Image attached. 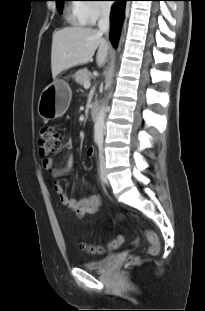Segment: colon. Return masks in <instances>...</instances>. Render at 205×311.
Here are the masks:
<instances>
[{
    "label": "colon",
    "mask_w": 205,
    "mask_h": 311,
    "mask_svg": "<svg viewBox=\"0 0 205 311\" xmlns=\"http://www.w3.org/2000/svg\"><path fill=\"white\" fill-rule=\"evenodd\" d=\"M61 146V134L54 126H46L42 129L39 139V150L43 157L55 153ZM146 238L150 242L149 253L156 255L160 249V241L156 233L146 232ZM124 238L122 235L116 236L106 245L81 244V249L91 254H102L106 251L117 249L122 245Z\"/></svg>",
    "instance_id": "obj_1"
}]
</instances>
